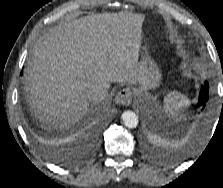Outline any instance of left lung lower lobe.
I'll return each instance as SVG.
<instances>
[{"label":"left lung lower lobe","mask_w":223,"mask_h":188,"mask_svg":"<svg viewBox=\"0 0 223 188\" xmlns=\"http://www.w3.org/2000/svg\"><path fill=\"white\" fill-rule=\"evenodd\" d=\"M209 96H208V88H205L202 86L199 94V100H198V105L197 107L200 106H205L206 102L208 101Z\"/></svg>","instance_id":"left-lung-lower-lobe-1"}]
</instances>
